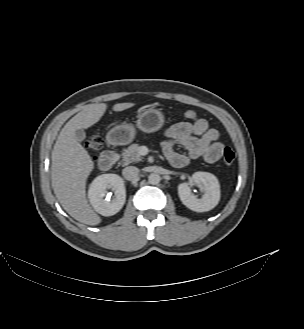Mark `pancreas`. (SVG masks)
Returning <instances> with one entry per match:
<instances>
[{"instance_id":"obj_1","label":"pancreas","mask_w":304,"mask_h":329,"mask_svg":"<svg viewBox=\"0 0 304 329\" xmlns=\"http://www.w3.org/2000/svg\"><path fill=\"white\" fill-rule=\"evenodd\" d=\"M139 150H140V146L138 144H132L126 149H124L121 154L122 165H128V164L140 162L142 160V157L139 154Z\"/></svg>"}]
</instances>
